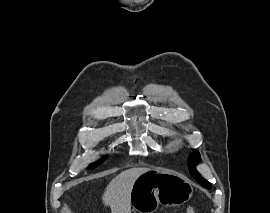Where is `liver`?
<instances>
[{
	"label": "liver",
	"instance_id": "1",
	"mask_svg": "<svg viewBox=\"0 0 270 213\" xmlns=\"http://www.w3.org/2000/svg\"><path fill=\"white\" fill-rule=\"evenodd\" d=\"M148 168H131L115 176L107 185L102 200L111 213H131L130 195L134 181Z\"/></svg>",
	"mask_w": 270,
	"mask_h": 213
}]
</instances>
